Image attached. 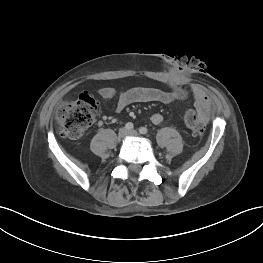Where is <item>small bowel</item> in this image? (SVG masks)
Masks as SVG:
<instances>
[{"mask_svg": "<svg viewBox=\"0 0 263 263\" xmlns=\"http://www.w3.org/2000/svg\"><path fill=\"white\" fill-rule=\"evenodd\" d=\"M175 88L171 91H165L153 87H134L120 92L116 106L117 112L123 111L127 106L134 103L159 102L163 104L171 103L178 98ZM194 97L195 108L203 121H207L210 117L211 102L204 89L197 84L191 86ZM102 99H112L116 95V91L112 87H103L99 90ZM151 122L159 125L164 121V117L160 113L152 114Z\"/></svg>", "mask_w": 263, "mask_h": 263, "instance_id": "obj_1", "label": "small bowel"}]
</instances>
